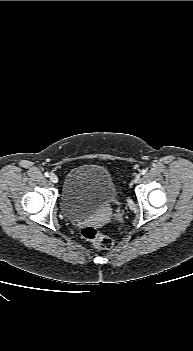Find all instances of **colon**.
<instances>
[{
	"label": "colon",
	"instance_id": "obj_1",
	"mask_svg": "<svg viewBox=\"0 0 193 351\" xmlns=\"http://www.w3.org/2000/svg\"><path fill=\"white\" fill-rule=\"evenodd\" d=\"M81 235L98 249H109L112 245L111 238L94 226H85L81 230Z\"/></svg>",
	"mask_w": 193,
	"mask_h": 351
}]
</instances>
